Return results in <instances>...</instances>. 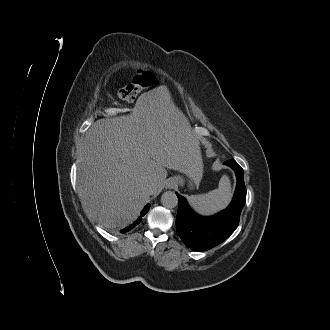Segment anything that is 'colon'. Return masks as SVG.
I'll return each instance as SVG.
<instances>
[{"instance_id":"obj_1","label":"colon","mask_w":330,"mask_h":330,"mask_svg":"<svg viewBox=\"0 0 330 330\" xmlns=\"http://www.w3.org/2000/svg\"><path fill=\"white\" fill-rule=\"evenodd\" d=\"M157 77L150 71L139 70L131 84L121 88L118 96L121 100L132 101L139 92L155 84Z\"/></svg>"}]
</instances>
